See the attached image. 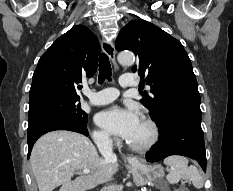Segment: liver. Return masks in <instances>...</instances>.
<instances>
[{"instance_id":"1","label":"liver","mask_w":233,"mask_h":191,"mask_svg":"<svg viewBox=\"0 0 233 191\" xmlns=\"http://www.w3.org/2000/svg\"><path fill=\"white\" fill-rule=\"evenodd\" d=\"M31 168L39 191H87L113 180L119 164L101 158L89 138L82 134L55 130L43 135L35 143L31 157ZM88 169L71 180L77 170Z\"/></svg>"}]
</instances>
